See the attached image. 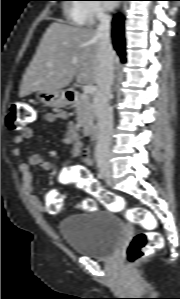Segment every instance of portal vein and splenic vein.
Masks as SVG:
<instances>
[{"label": "portal vein and splenic vein", "mask_w": 180, "mask_h": 299, "mask_svg": "<svg viewBox=\"0 0 180 299\" xmlns=\"http://www.w3.org/2000/svg\"><path fill=\"white\" fill-rule=\"evenodd\" d=\"M96 90L95 86L93 85H85L83 86V92L85 94H91Z\"/></svg>", "instance_id": "obj_1"}]
</instances>
